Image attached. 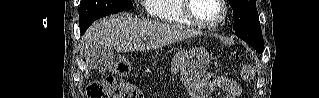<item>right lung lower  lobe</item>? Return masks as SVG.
Listing matches in <instances>:
<instances>
[{
	"label": "right lung lower lobe",
	"mask_w": 319,
	"mask_h": 98,
	"mask_svg": "<svg viewBox=\"0 0 319 98\" xmlns=\"http://www.w3.org/2000/svg\"><path fill=\"white\" fill-rule=\"evenodd\" d=\"M95 20H96V19L91 20V21H89V22H87V23H85V24L80 25V33H81V35L85 33V31L87 30V28H88Z\"/></svg>",
	"instance_id": "right-lung-lower-lobe-1"
}]
</instances>
